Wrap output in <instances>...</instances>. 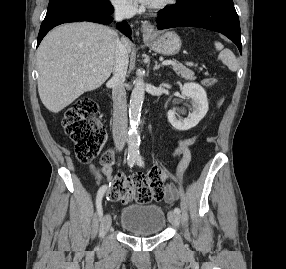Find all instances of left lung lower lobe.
I'll list each match as a JSON object with an SVG mask.
<instances>
[{"mask_svg":"<svg viewBox=\"0 0 286 269\" xmlns=\"http://www.w3.org/2000/svg\"><path fill=\"white\" fill-rule=\"evenodd\" d=\"M158 29L200 27L224 34L242 53L239 18L232 0H198L187 6L174 5L159 11Z\"/></svg>","mask_w":286,"mask_h":269,"instance_id":"left-lung-lower-lobe-1","label":"left lung lower lobe"}]
</instances>
